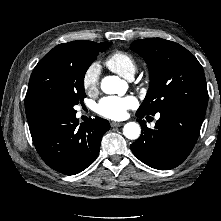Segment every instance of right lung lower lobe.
<instances>
[{
  "mask_svg": "<svg viewBox=\"0 0 221 221\" xmlns=\"http://www.w3.org/2000/svg\"><path fill=\"white\" fill-rule=\"evenodd\" d=\"M75 114L55 105L26 110L37 152L49 167L66 175L80 173L94 162L102 136L110 129L100 117L79 124Z\"/></svg>",
  "mask_w": 221,
  "mask_h": 221,
  "instance_id": "1",
  "label": "right lung lower lobe"
}]
</instances>
